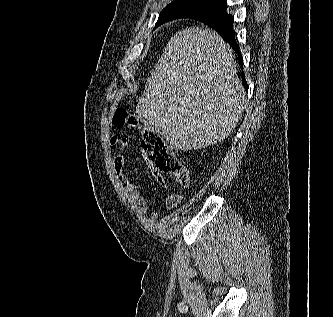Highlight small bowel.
<instances>
[{
    "mask_svg": "<svg viewBox=\"0 0 333 317\" xmlns=\"http://www.w3.org/2000/svg\"><path fill=\"white\" fill-rule=\"evenodd\" d=\"M128 141L129 138L127 134L123 132H119L111 138L110 140L111 146H116L119 149L114 159V169L117 181L120 184L126 198L128 199L134 211L140 215H146L148 211V206L144 198L142 197V188L139 185L129 181V179L123 173V168L125 163L124 150L128 144ZM142 155L144 156V153ZM148 165L151 167L149 162ZM151 171L157 183L161 187H166V181L164 177L152 167ZM180 201H181V195L170 194L166 199V206L169 208H173L177 206L180 203ZM152 217L154 218L156 216L153 215Z\"/></svg>",
    "mask_w": 333,
    "mask_h": 317,
    "instance_id": "c3829d8e",
    "label": "small bowel"
}]
</instances>
